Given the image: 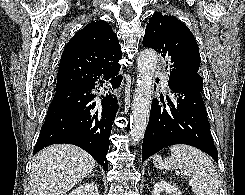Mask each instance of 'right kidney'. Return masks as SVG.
<instances>
[{"mask_svg":"<svg viewBox=\"0 0 245 195\" xmlns=\"http://www.w3.org/2000/svg\"><path fill=\"white\" fill-rule=\"evenodd\" d=\"M68 195H99L97 185L94 182L84 183L75 188Z\"/></svg>","mask_w":245,"mask_h":195,"instance_id":"1","label":"right kidney"}]
</instances>
